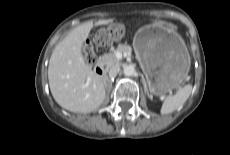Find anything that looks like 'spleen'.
Segmentation results:
<instances>
[{
	"mask_svg": "<svg viewBox=\"0 0 230 155\" xmlns=\"http://www.w3.org/2000/svg\"><path fill=\"white\" fill-rule=\"evenodd\" d=\"M192 91V85H185L175 95L167 96L161 107V114H170L187 101Z\"/></svg>",
	"mask_w": 230,
	"mask_h": 155,
	"instance_id": "3e777b00",
	"label": "spleen"
}]
</instances>
